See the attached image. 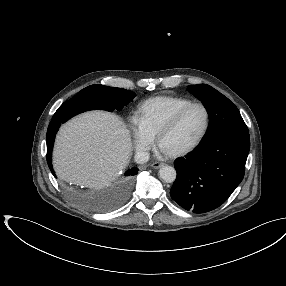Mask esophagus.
<instances>
[{
	"label": "esophagus",
	"instance_id": "esophagus-1",
	"mask_svg": "<svg viewBox=\"0 0 286 286\" xmlns=\"http://www.w3.org/2000/svg\"><path fill=\"white\" fill-rule=\"evenodd\" d=\"M162 166H164V163H162V162H153L151 164V167L154 168V169H158V168H160Z\"/></svg>",
	"mask_w": 286,
	"mask_h": 286
}]
</instances>
